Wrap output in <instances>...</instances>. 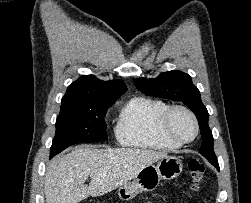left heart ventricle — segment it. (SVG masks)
Wrapping results in <instances>:
<instances>
[{
    "instance_id": "obj_1",
    "label": "left heart ventricle",
    "mask_w": 251,
    "mask_h": 203,
    "mask_svg": "<svg viewBox=\"0 0 251 203\" xmlns=\"http://www.w3.org/2000/svg\"><path fill=\"white\" fill-rule=\"evenodd\" d=\"M172 131L182 139H189L195 132L193 120L183 111H176L171 120Z\"/></svg>"
}]
</instances>
